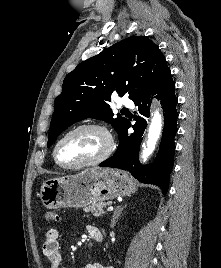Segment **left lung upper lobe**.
<instances>
[{"instance_id":"left-lung-upper-lobe-1","label":"left lung upper lobe","mask_w":221,"mask_h":268,"mask_svg":"<svg viewBox=\"0 0 221 268\" xmlns=\"http://www.w3.org/2000/svg\"><path fill=\"white\" fill-rule=\"evenodd\" d=\"M169 77L171 71L158 46L143 36L126 38L80 63L66 76L54 102L47 147L70 125L86 118L104 120L119 134L128 120L113 117L111 95L129 94L135 101Z\"/></svg>"}]
</instances>
